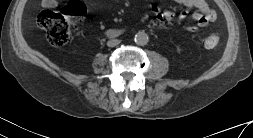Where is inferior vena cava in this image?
Masks as SVG:
<instances>
[{"label":"inferior vena cava","instance_id":"1","mask_svg":"<svg viewBox=\"0 0 253 138\" xmlns=\"http://www.w3.org/2000/svg\"><path fill=\"white\" fill-rule=\"evenodd\" d=\"M120 43V40L118 39H111L107 42L108 47H115Z\"/></svg>","mask_w":253,"mask_h":138}]
</instances>
